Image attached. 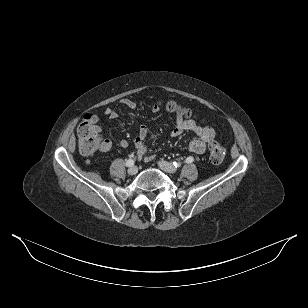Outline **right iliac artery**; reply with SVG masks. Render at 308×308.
<instances>
[{
    "mask_svg": "<svg viewBox=\"0 0 308 308\" xmlns=\"http://www.w3.org/2000/svg\"><path fill=\"white\" fill-rule=\"evenodd\" d=\"M133 165H134V160H133V159L127 160V162H126V166H127V167H131V166H133Z\"/></svg>",
    "mask_w": 308,
    "mask_h": 308,
    "instance_id": "1",
    "label": "right iliac artery"
}]
</instances>
